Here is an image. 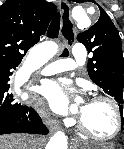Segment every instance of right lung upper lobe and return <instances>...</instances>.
<instances>
[{"instance_id":"obj_1","label":"right lung upper lobe","mask_w":124,"mask_h":149,"mask_svg":"<svg viewBox=\"0 0 124 149\" xmlns=\"http://www.w3.org/2000/svg\"><path fill=\"white\" fill-rule=\"evenodd\" d=\"M57 8L45 0H6L0 6V64H20L44 35Z\"/></svg>"}]
</instances>
